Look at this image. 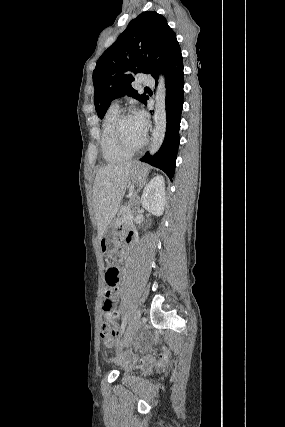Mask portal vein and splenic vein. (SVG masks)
Returning <instances> with one entry per match:
<instances>
[{
  "mask_svg": "<svg viewBox=\"0 0 285 427\" xmlns=\"http://www.w3.org/2000/svg\"><path fill=\"white\" fill-rule=\"evenodd\" d=\"M130 217H131V215H128V216H127V218H130Z\"/></svg>",
  "mask_w": 285,
  "mask_h": 427,
  "instance_id": "obj_1",
  "label": "portal vein and splenic vein"
}]
</instances>
